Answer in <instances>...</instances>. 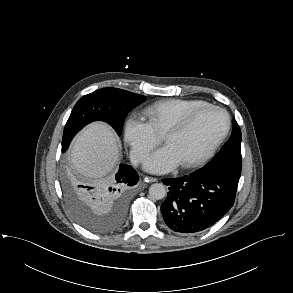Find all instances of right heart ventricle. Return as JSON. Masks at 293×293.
<instances>
[{"label":"right heart ventricle","instance_id":"obj_1","mask_svg":"<svg viewBox=\"0 0 293 293\" xmlns=\"http://www.w3.org/2000/svg\"><path fill=\"white\" fill-rule=\"evenodd\" d=\"M208 104L202 100L165 99L147 106L143 114L153 129L162 135L166 129L189 112Z\"/></svg>","mask_w":293,"mask_h":293}]
</instances>
